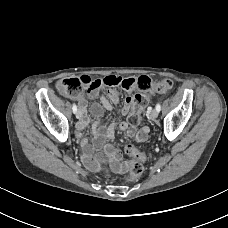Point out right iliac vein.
I'll return each instance as SVG.
<instances>
[{"instance_id":"obj_1","label":"right iliac vein","mask_w":228,"mask_h":228,"mask_svg":"<svg viewBox=\"0 0 228 228\" xmlns=\"http://www.w3.org/2000/svg\"><path fill=\"white\" fill-rule=\"evenodd\" d=\"M75 114H76L77 119H79L81 117V111L80 110L76 111Z\"/></svg>"}]
</instances>
